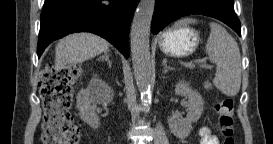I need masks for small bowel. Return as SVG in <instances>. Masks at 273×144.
I'll list each match as a JSON object with an SVG mask.
<instances>
[{"label": "small bowel", "instance_id": "small-bowel-1", "mask_svg": "<svg viewBox=\"0 0 273 144\" xmlns=\"http://www.w3.org/2000/svg\"><path fill=\"white\" fill-rule=\"evenodd\" d=\"M200 144H219L218 138L208 127H202L199 130Z\"/></svg>", "mask_w": 273, "mask_h": 144}]
</instances>
